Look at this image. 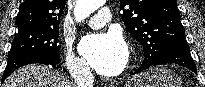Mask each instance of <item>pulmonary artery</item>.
<instances>
[{
	"instance_id": "1",
	"label": "pulmonary artery",
	"mask_w": 205,
	"mask_h": 87,
	"mask_svg": "<svg viewBox=\"0 0 205 87\" xmlns=\"http://www.w3.org/2000/svg\"><path fill=\"white\" fill-rule=\"evenodd\" d=\"M112 19V13L109 8H101L97 14L92 16L88 21V25L93 29H98L103 27L105 24L109 23Z\"/></svg>"
}]
</instances>
